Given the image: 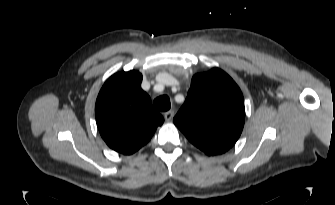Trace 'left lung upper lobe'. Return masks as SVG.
I'll use <instances>...</instances> for the list:
<instances>
[{"label":"left lung upper lobe","mask_w":335,"mask_h":205,"mask_svg":"<svg viewBox=\"0 0 335 205\" xmlns=\"http://www.w3.org/2000/svg\"><path fill=\"white\" fill-rule=\"evenodd\" d=\"M244 121L242 92L218 68L193 76L187 98L173 119L188 140L207 155L228 151L238 140Z\"/></svg>","instance_id":"left-lung-upper-lobe-1"}]
</instances>
